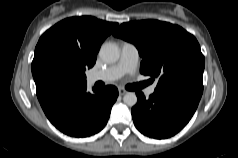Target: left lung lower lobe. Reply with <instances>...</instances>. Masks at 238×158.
Listing matches in <instances>:
<instances>
[{"mask_svg": "<svg viewBox=\"0 0 238 158\" xmlns=\"http://www.w3.org/2000/svg\"><path fill=\"white\" fill-rule=\"evenodd\" d=\"M203 93V82L190 81L165 89H155L146 99L137 92L132 108L136 128L146 136L164 139L178 133L191 119Z\"/></svg>", "mask_w": 238, "mask_h": 158, "instance_id": "obj_1", "label": "left lung lower lobe"}]
</instances>
